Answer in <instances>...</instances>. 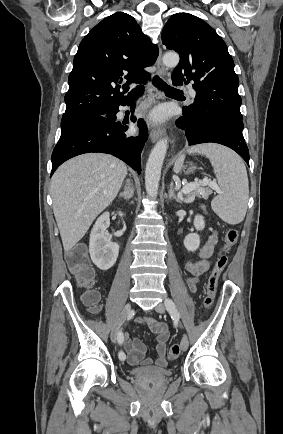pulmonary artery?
I'll return each instance as SVG.
<instances>
[{
    "instance_id": "obj_1",
    "label": "pulmonary artery",
    "mask_w": 283,
    "mask_h": 434,
    "mask_svg": "<svg viewBox=\"0 0 283 434\" xmlns=\"http://www.w3.org/2000/svg\"><path fill=\"white\" fill-rule=\"evenodd\" d=\"M188 93H189V95H190L191 97H195V95H196L195 90L192 89V88H190V89L188 90Z\"/></svg>"
}]
</instances>
